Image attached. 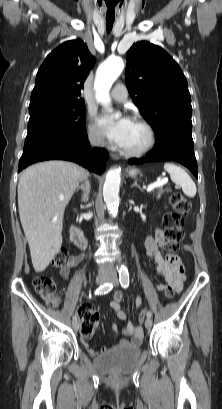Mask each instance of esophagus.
<instances>
[{"mask_svg": "<svg viewBox=\"0 0 222 409\" xmlns=\"http://www.w3.org/2000/svg\"><path fill=\"white\" fill-rule=\"evenodd\" d=\"M111 157H112L114 160H118V159H119V155H118V154L112 153V154H111Z\"/></svg>", "mask_w": 222, "mask_h": 409, "instance_id": "1", "label": "esophagus"}]
</instances>
